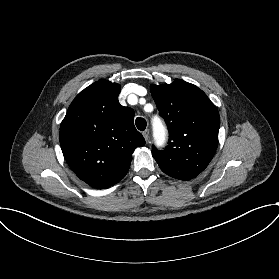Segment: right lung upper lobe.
Returning a JSON list of instances; mask_svg holds the SVG:
<instances>
[{
	"label": "right lung upper lobe",
	"instance_id": "cb5924a9",
	"mask_svg": "<svg viewBox=\"0 0 279 279\" xmlns=\"http://www.w3.org/2000/svg\"><path fill=\"white\" fill-rule=\"evenodd\" d=\"M121 87L99 80L73 100L60 126L66 162L93 188H108L127 174L132 153L145 140L134 127V110L119 104Z\"/></svg>",
	"mask_w": 279,
	"mask_h": 279
}]
</instances>
